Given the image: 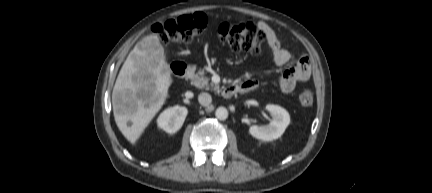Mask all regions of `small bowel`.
Instances as JSON below:
<instances>
[{"instance_id": "small-bowel-1", "label": "small bowel", "mask_w": 432, "mask_h": 193, "mask_svg": "<svg viewBox=\"0 0 432 193\" xmlns=\"http://www.w3.org/2000/svg\"><path fill=\"white\" fill-rule=\"evenodd\" d=\"M257 27L265 34L274 63L278 66L290 65L278 79L280 90L284 93H291L297 84L307 82L311 76L308 58L302 56L294 61L292 52L281 45L275 31L267 23L259 22ZM239 86L240 92H249L258 86V82L255 79H248Z\"/></svg>"}]
</instances>
